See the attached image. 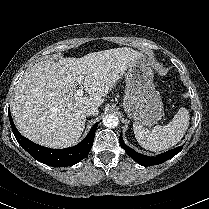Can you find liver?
<instances>
[{
	"mask_svg": "<svg viewBox=\"0 0 209 209\" xmlns=\"http://www.w3.org/2000/svg\"><path fill=\"white\" fill-rule=\"evenodd\" d=\"M141 52L114 48L81 58L36 63L17 84L11 113L20 133L50 148L74 145L85 128L87 105L99 107ZM83 77L88 96L75 94L77 79Z\"/></svg>",
	"mask_w": 209,
	"mask_h": 209,
	"instance_id": "obj_1",
	"label": "liver"
}]
</instances>
